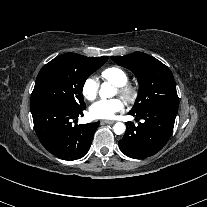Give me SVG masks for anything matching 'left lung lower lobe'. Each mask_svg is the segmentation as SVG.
I'll use <instances>...</instances> for the list:
<instances>
[{"label":"left lung lower lobe","mask_w":207,"mask_h":207,"mask_svg":"<svg viewBox=\"0 0 207 207\" xmlns=\"http://www.w3.org/2000/svg\"><path fill=\"white\" fill-rule=\"evenodd\" d=\"M178 107L161 105L153 107L136 116V121L143 119V123L135 126L127 123L124 137L119 141L121 151L128 157L142 159L156 154L169 140Z\"/></svg>","instance_id":"0a47b994"}]
</instances>
